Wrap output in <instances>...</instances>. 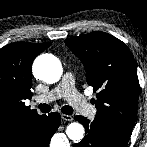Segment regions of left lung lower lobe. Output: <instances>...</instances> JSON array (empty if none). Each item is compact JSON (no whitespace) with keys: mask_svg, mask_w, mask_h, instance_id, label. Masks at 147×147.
Here are the masks:
<instances>
[{"mask_svg":"<svg viewBox=\"0 0 147 147\" xmlns=\"http://www.w3.org/2000/svg\"><path fill=\"white\" fill-rule=\"evenodd\" d=\"M77 121L86 128L83 140L75 144V147H126L128 141L119 136L114 130L105 124L77 115Z\"/></svg>","mask_w":147,"mask_h":147,"instance_id":"left-lung-lower-lobe-1","label":"left lung lower lobe"}]
</instances>
